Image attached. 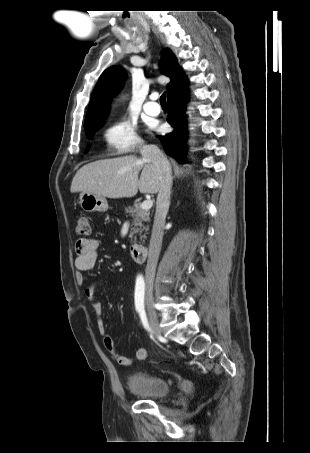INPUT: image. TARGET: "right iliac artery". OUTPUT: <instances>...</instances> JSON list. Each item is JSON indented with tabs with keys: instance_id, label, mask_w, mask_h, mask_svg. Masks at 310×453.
Segmentation results:
<instances>
[{
	"instance_id": "obj_1",
	"label": "right iliac artery",
	"mask_w": 310,
	"mask_h": 453,
	"mask_svg": "<svg viewBox=\"0 0 310 453\" xmlns=\"http://www.w3.org/2000/svg\"><path fill=\"white\" fill-rule=\"evenodd\" d=\"M145 283L142 276H138L135 285V308L139 314L144 313Z\"/></svg>"
}]
</instances>
